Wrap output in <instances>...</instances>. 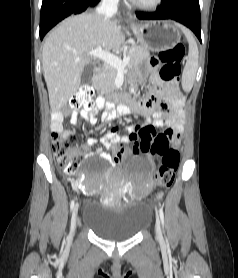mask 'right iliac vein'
Masks as SVG:
<instances>
[{
	"mask_svg": "<svg viewBox=\"0 0 238 278\" xmlns=\"http://www.w3.org/2000/svg\"><path fill=\"white\" fill-rule=\"evenodd\" d=\"M77 222H78V204L74 206L72 211L70 237H72L75 234Z\"/></svg>",
	"mask_w": 238,
	"mask_h": 278,
	"instance_id": "obj_1",
	"label": "right iliac vein"
}]
</instances>
